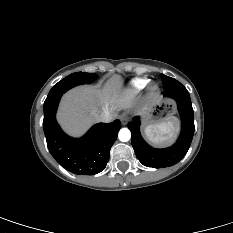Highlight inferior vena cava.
<instances>
[{
	"label": "inferior vena cava",
	"mask_w": 233,
	"mask_h": 233,
	"mask_svg": "<svg viewBox=\"0 0 233 233\" xmlns=\"http://www.w3.org/2000/svg\"><path fill=\"white\" fill-rule=\"evenodd\" d=\"M113 119L112 115L109 112H102L98 115V121L108 123Z\"/></svg>",
	"instance_id": "602c4592"
}]
</instances>
